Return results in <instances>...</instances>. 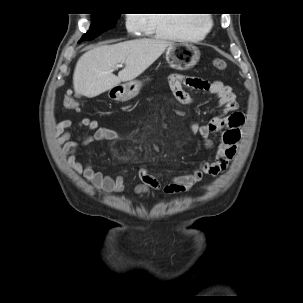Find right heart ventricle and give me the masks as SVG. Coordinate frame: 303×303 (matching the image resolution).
I'll return each instance as SVG.
<instances>
[{"mask_svg": "<svg viewBox=\"0 0 303 303\" xmlns=\"http://www.w3.org/2000/svg\"><path fill=\"white\" fill-rule=\"evenodd\" d=\"M145 28L153 34L169 38H198V18L190 14H147Z\"/></svg>", "mask_w": 303, "mask_h": 303, "instance_id": "e07e8e85", "label": "right heart ventricle"}]
</instances>
